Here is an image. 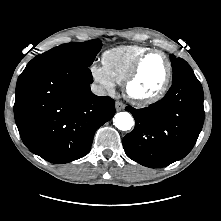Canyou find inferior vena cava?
Segmentation results:
<instances>
[{
  "label": "inferior vena cava",
  "instance_id": "1",
  "mask_svg": "<svg viewBox=\"0 0 221 221\" xmlns=\"http://www.w3.org/2000/svg\"><path fill=\"white\" fill-rule=\"evenodd\" d=\"M91 91H92V93H94L95 95H98V96H105L107 94L104 87L101 85H97V84L91 85Z\"/></svg>",
  "mask_w": 221,
  "mask_h": 221
}]
</instances>
